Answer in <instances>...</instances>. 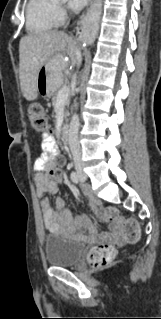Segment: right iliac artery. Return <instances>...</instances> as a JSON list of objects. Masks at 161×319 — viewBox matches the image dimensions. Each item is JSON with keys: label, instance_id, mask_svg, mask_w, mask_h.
Listing matches in <instances>:
<instances>
[{"label": "right iliac artery", "instance_id": "right-iliac-artery-1", "mask_svg": "<svg viewBox=\"0 0 161 319\" xmlns=\"http://www.w3.org/2000/svg\"><path fill=\"white\" fill-rule=\"evenodd\" d=\"M70 178H71V180H72L74 183H76V184L79 183V181H80V177H79L78 173L75 172V171H73V172L71 173Z\"/></svg>", "mask_w": 161, "mask_h": 319}]
</instances>
